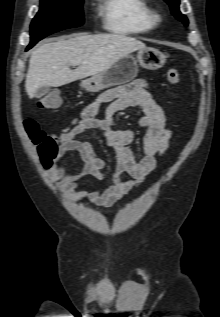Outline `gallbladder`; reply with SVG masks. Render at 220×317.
Returning <instances> with one entry per match:
<instances>
[{
	"label": "gallbladder",
	"instance_id": "bac80fb5",
	"mask_svg": "<svg viewBox=\"0 0 220 317\" xmlns=\"http://www.w3.org/2000/svg\"><path fill=\"white\" fill-rule=\"evenodd\" d=\"M50 90V87L49 86H43V87H40L37 91H36V94H35V97L37 98H41L43 97L44 95H46Z\"/></svg>",
	"mask_w": 220,
	"mask_h": 317
}]
</instances>
